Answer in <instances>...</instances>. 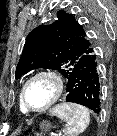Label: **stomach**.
<instances>
[{"label": "stomach", "instance_id": "0dacf381", "mask_svg": "<svg viewBox=\"0 0 117 136\" xmlns=\"http://www.w3.org/2000/svg\"><path fill=\"white\" fill-rule=\"evenodd\" d=\"M40 127H41L42 129H44L45 131H47V130H49V129L51 128V125H50L49 122L43 121V122L41 123Z\"/></svg>", "mask_w": 117, "mask_h": 136}]
</instances>
